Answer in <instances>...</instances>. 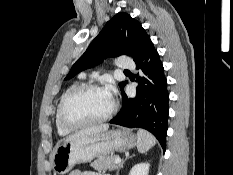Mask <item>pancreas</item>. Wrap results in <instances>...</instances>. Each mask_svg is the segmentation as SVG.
I'll return each instance as SVG.
<instances>
[{"instance_id":"cf45deb5","label":"pancreas","mask_w":233,"mask_h":175,"mask_svg":"<svg viewBox=\"0 0 233 175\" xmlns=\"http://www.w3.org/2000/svg\"><path fill=\"white\" fill-rule=\"evenodd\" d=\"M118 156H100L90 165L95 170H115L118 168V164H115L114 161Z\"/></svg>"}]
</instances>
